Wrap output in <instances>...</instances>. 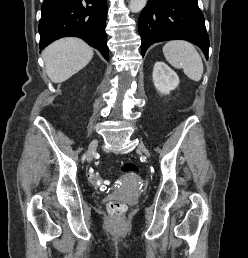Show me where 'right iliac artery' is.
Masks as SVG:
<instances>
[{
    "label": "right iliac artery",
    "instance_id": "1",
    "mask_svg": "<svg viewBox=\"0 0 248 258\" xmlns=\"http://www.w3.org/2000/svg\"><path fill=\"white\" fill-rule=\"evenodd\" d=\"M85 158H86V154H85V155H83V157H82V161H84V160H85Z\"/></svg>",
    "mask_w": 248,
    "mask_h": 258
}]
</instances>
